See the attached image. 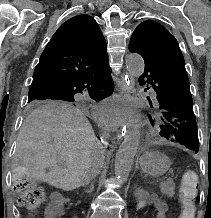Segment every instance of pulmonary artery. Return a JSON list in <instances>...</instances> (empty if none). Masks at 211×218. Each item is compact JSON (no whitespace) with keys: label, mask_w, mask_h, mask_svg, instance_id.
<instances>
[{"label":"pulmonary artery","mask_w":211,"mask_h":218,"mask_svg":"<svg viewBox=\"0 0 211 218\" xmlns=\"http://www.w3.org/2000/svg\"><path fill=\"white\" fill-rule=\"evenodd\" d=\"M146 90L148 91L149 95H156L157 94V91L155 90L154 86L148 85L146 87Z\"/></svg>","instance_id":"pulmonary-artery-1"}]
</instances>
